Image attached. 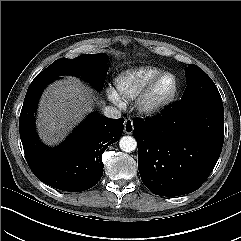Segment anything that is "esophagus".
<instances>
[{"label": "esophagus", "mask_w": 241, "mask_h": 241, "mask_svg": "<svg viewBox=\"0 0 241 241\" xmlns=\"http://www.w3.org/2000/svg\"><path fill=\"white\" fill-rule=\"evenodd\" d=\"M133 130H134L133 121L130 118L125 119V122H124V132L126 134H132Z\"/></svg>", "instance_id": "1"}]
</instances>
